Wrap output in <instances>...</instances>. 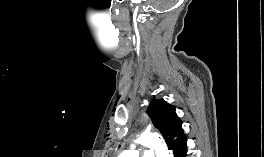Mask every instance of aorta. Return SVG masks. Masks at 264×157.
Here are the masks:
<instances>
[{
    "label": "aorta",
    "mask_w": 264,
    "mask_h": 157,
    "mask_svg": "<svg viewBox=\"0 0 264 157\" xmlns=\"http://www.w3.org/2000/svg\"><path fill=\"white\" fill-rule=\"evenodd\" d=\"M135 142L153 148L156 151L157 157H171V153L165 143L155 133H144ZM121 157H138L135 146L132 145V148L124 152Z\"/></svg>",
    "instance_id": "aorta-1"
}]
</instances>
